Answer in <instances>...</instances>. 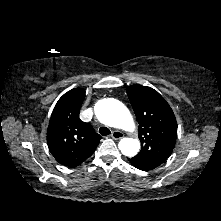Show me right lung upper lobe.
<instances>
[{"label":"right lung upper lobe","instance_id":"1","mask_svg":"<svg viewBox=\"0 0 221 221\" xmlns=\"http://www.w3.org/2000/svg\"><path fill=\"white\" fill-rule=\"evenodd\" d=\"M85 91L74 88L57 102L47 130V143L56 161L67 167L80 165L89 158L101 136L79 118Z\"/></svg>","mask_w":221,"mask_h":221}]
</instances>
